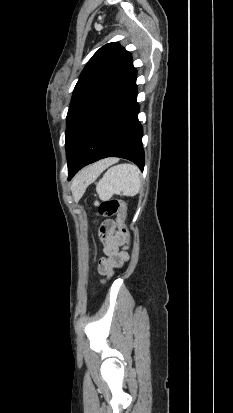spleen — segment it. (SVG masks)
Instances as JSON below:
<instances>
[{
	"label": "spleen",
	"instance_id": "spleen-1",
	"mask_svg": "<svg viewBox=\"0 0 233 413\" xmlns=\"http://www.w3.org/2000/svg\"><path fill=\"white\" fill-rule=\"evenodd\" d=\"M99 171L91 175L95 178ZM141 187L140 170L133 164H118L104 174L96 186L101 200H109L113 194L135 196Z\"/></svg>",
	"mask_w": 233,
	"mask_h": 413
}]
</instances>
